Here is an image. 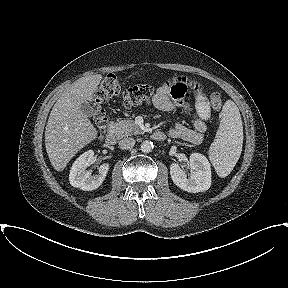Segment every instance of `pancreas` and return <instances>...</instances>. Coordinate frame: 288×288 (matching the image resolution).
I'll return each mask as SVG.
<instances>
[{"mask_svg":"<svg viewBox=\"0 0 288 288\" xmlns=\"http://www.w3.org/2000/svg\"><path fill=\"white\" fill-rule=\"evenodd\" d=\"M114 130L119 137H126L130 135H137L142 133L140 126L133 120L117 119L114 124Z\"/></svg>","mask_w":288,"mask_h":288,"instance_id":"cf45deb5","label":"pancreas"}]
</instances>
